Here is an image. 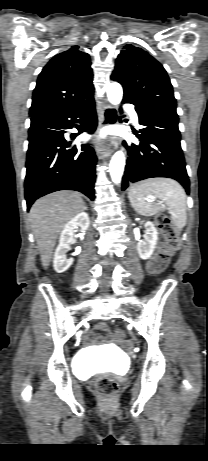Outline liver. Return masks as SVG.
Segmentation results:
<instances>
[{
	"label": "liver",
	"instance_id": "liver-1",
	"mask_svg": "<svg viewBox=\"0 0 208 461\" xmlns=\"http://www.w3.org/2000/svg\"><path fill=\"white\" fill-rule=\"evenodd\" d=\"M85 210L81 194L59 191L38 199L30 209L29 218L36 239L42 266L46 269L52 259L56 239L65 224Z\"/></svg>",
	"mask_w": 208,
	"mask_h": 461
}]
</instances>
